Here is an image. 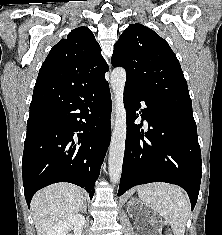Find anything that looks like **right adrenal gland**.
Segmentation results:
<instances>
[{
  "label": "right adrenal gland",
  "mask_w": 222,
  "mask_h": 235,
  "mask_svg": "<svg viewBox=\"0 0 222 235\" xmlns=\"http://www.w3.org/2000/svg\"><path fill=\"white\" fill-rule=\"evenodd\" d=\"M87 211V204H86V201H84V204L81 208V212H86Z\"/></svg>",
  "instance_id": "1"
}]
</instances>
